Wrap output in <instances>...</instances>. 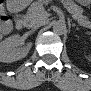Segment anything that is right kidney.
I'll use <instances>...</instances> for the list:
<instances>
[{
	"mask_svg": "<svg viewBox=\"0 0 91 91\" xmlns=\"http://www.w3.org/2000/svg\"><path fill=\"white\" fill-rule=\"evenodd\" d=\"M19 44V35H12L3 40L0 43V61L3 63H11L26 57L32 47V42H28L21 50L16 48Z\"/></svg>",
	"mask_w": 91,
	"mask_h": 91,
	"instance_id": "right-kidney-1",
	"label": "right kidney"
}]
</instances>
